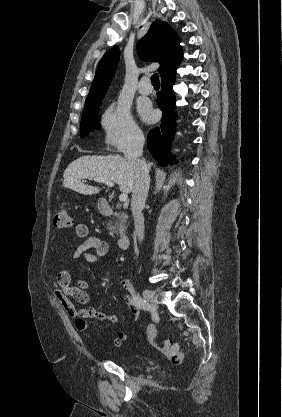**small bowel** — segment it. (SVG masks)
Here are the masks:
<instances>
[{"mask_svg":"<svg viewBox=\"0 0 282 417\" xmlns=\"http://www.w3.org/2000/svg\"><path fill=\"white\" fill-rule=\"evenodd\" d=\"M75 234L83 242L77 246L73 253V259L78 261L85 259L87 262H96L105 257L110 250L109 244L98 236H90L88 226L84 223L75 225ZM93 250V252H91ZM54 296L62 305L66 313L75 319V328L77 331L84 333L88 329L87 319H93L99 322L116 323L115 314L104 313L94 307L78 308L76 303L84 305L89 301L87 294L88 284L85 280L79 279L75 286L71 285V275L62 268L54 280ZM121 286L126 292V301L133 315L134 321H138L140 309L134 303L136 296L132 282L129 279H123ZM129 337L128 330H121L116 337L111 338L110 348H117L122 345Z\"/></svg>","mask_w":282,"mask_h":417,"instance_id":"c3829d8e","label":"small bowel"}]
</instances>
